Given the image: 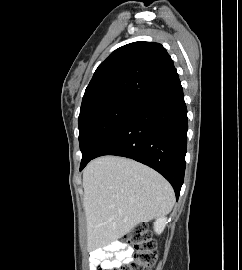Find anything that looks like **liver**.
<instances>
[{"label":"liver","mask_w":242,"mask_h":270,"mask_svg":"<svg viewBox=\"0 0 242 270\" xmlns=\"http://www.w3.org/2000/svg\"><path fill=\"white\" fill-rule=\"evenodd\" d=\"M83 188L89 247L117 241L138 224L167 215L175 203L168 181L123 157L91 161L83 172Z\"/></svg>","instance_id":"1"}]
</instances>
